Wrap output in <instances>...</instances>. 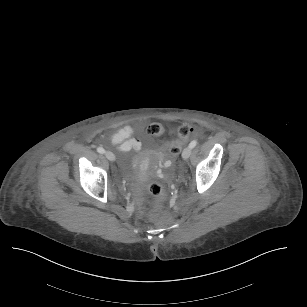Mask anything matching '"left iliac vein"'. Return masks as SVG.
Wrapping results in <instances>:
<instances>
[{
	"label": "left iliac vein",
	"mask_w": 307,
	"mask_h": 307,
	"mask_svg": "<svg viewBox=\"0 0 307 307\" xmlns=\"http://www.w3.org/2000/svg\"><path fill=\"white\" fill-rule=\"evenodd\" d=\"M192 149L190 147H186L182 152V158L184 160L188 159L191 155Z\"/></svg>",
	"instance_id": "left-iliac-vein-1"
}]
</instances>
